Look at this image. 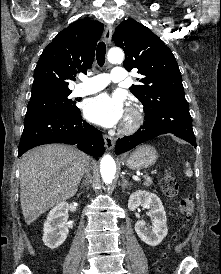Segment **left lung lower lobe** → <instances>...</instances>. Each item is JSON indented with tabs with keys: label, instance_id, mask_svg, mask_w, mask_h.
I'll return each instance as SVG.
<instances>
[{
	"label": "left lung lower lobe",
	"instance_id": "obj_1",
	"mask_svg": "<svg viewBox=\"0 0 221 274\" xmlns=\"http://www.w3.org/2000/svg\"><path fill=\"white\" fill-rule=\"evenodd\" d=\"M165 133H172L196 147L187 101L180 100L168 106L146 111L143 126L134 135L117 140L116 154L126 152Z\"/></svg>",
	"mask_w": 221,
	"mask_h": 274
}]
</instances>
